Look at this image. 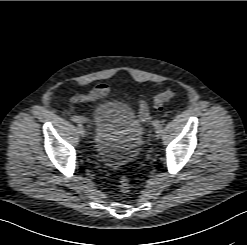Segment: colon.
Here are the masks:
<instances>
[{
    "label": "colon",
    "instance_id": "1",
    "mask_svg": "<svg viewBox=\"0 0 247 245\" xmlns=\"http://www.w3.org/2000/svg\"><path fill=\"white\" fill-rule=\"evenodd\" d=\"M173 96H174V91L170 89L156 95L153 99L154 106L157 109H160L162 105L165 102H167L169 99H171ZM130 188H131V184L129 178L125 175H122L119 178V189L121 190V192L127 193L129 192Z\"/></svg>",
    "mask_w": 247,
    "mask_h": 245
}]
</instances>
